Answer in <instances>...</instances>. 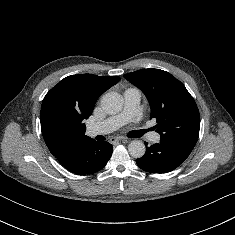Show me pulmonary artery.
I'll return each mask as SVG.
<instances>
[{"mask_svg":"<svg viewBox=\"0 0 235 235\" xmlns=\"http://www.w3.org/2000/svg\"><path fill=\"white\" fill-rule=\"evenodd\" d=\"M123 99L124 107L119 114L109 117L103 121L93 123L88 127V134L90 136L113 132L135 117L141 102L140 90L134 87L126 89L123 94ZM149 139L151 142L157 143L160 140V135L154 132L150 134Z\"/></svg>","mask_w":235,"mask_h":235,"instance_id":"obj_1","label":"pulmonary artery"}]
</instances>
